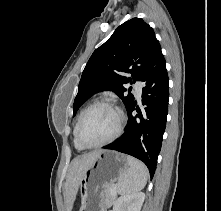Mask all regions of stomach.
Masks as SVG:
<instances>
[{
  "instance_id": "0dacf381",
  "label": "stomach",
  "mask_w": 221,
  "mask_h": 211,
  "mask_svg": "<svg viewBox=\"0 0 221 211\" xmlns=\"http://www.w3.org/2000/svg\"><path fill=\"white\" fill-rule=\"evenodd\" d=\"M129 169L126 156L116 151H102L85 170L80 183L79 211H101L106 186Z\"/></svg>"
}]
</instances>
